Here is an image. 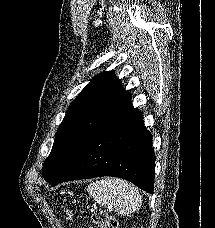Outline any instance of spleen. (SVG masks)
Instances as JSON below:
<instances>
[{
	"mask_svg": "<svg viewBox=\"0 0 215 228\" xmlns=\"http://www.w3.org/2000/svg\"><path fill=\"white\" fill-rule=\"evenodd\" d=\"M88 192L96 204L113 206L120 216L133 214L136 210H140L142 204L137 188L126 180H118V178L96 180L88 186Z\"/></svg>",
	"mask_w": 215,
	"mask_h": 228,
	"instance_id": "3e777b00",
	"label": "spleen"
}]
</instances>
